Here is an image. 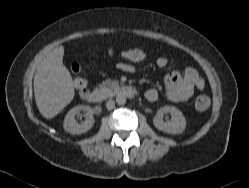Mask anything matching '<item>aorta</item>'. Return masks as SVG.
I'll list each match as a JSON object with an SVG mask.
<instances>
[{
    "mask_svg": "<svg viewBox=\"0 0 249 188\" xmlns=\"http://www.w3.org/2000/svg\"><path fill=\"white\" fill-rule=\"evenodd\" d=\"M116 103L118 105H124L126 103V97L123 94H118L116 96Z\"/></svg>",
    "mask_w": 249,
    "mask_h": 188,
    "instance_id": "aorta-1",
    "label": "aorta"
}]
</instances>
